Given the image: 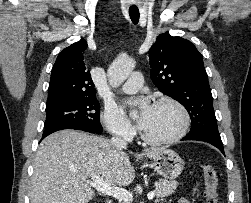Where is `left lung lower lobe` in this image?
Segmentation results:
<instances>
[{
    "instance_id": "obj_1",
    "label": "left lung lower lobe",
    "mask_w": 251,
    "mask_h": 203,
    "mask_svg": "<svg viewBox=\"0 0 251 203\" xmlns=\"http://www.w3.org/2000/svg\"><path fill=\"white\" fill-rule=\"evenodd\" d=\"M182 140H198L204 141L217 147L223 154L224 148L219 134L210 133H198V134H187Z\"/></svg>"
}]
</instances>
